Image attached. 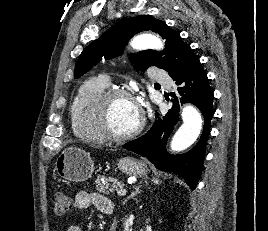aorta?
Here are the masks:
<instances>
[{"label": "aorta", "instance_id": "1", "mask_svg": "<svg viewBox=\"0 0 268 231\" xmlns=\"http://www.w3.org/2000/svg\"><path fill=\"white\" fill-rule=\"evenodd\" d=\"M131 46L136 50L156 49L161 50L164 47L160 38L143 34L135 37ZM183 124L174 134L170 147L173 151L179 152L190 147L198 138L202 129L201 114L191 105H185L182 109Z\"/></svg>", "mask_w": 268, "mask_h": 231}]
</instances>
